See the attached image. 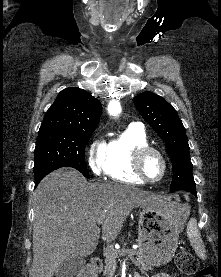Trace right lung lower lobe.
Listing matches in <instances>:
<instances>
[{
	"instance_id": "1",
	"label": "right lung lower lobe",
	"mask_w": 221,
	"mask_h": 277,
	"mask_svg": "<svg viewBox=\"0 0 221 277\" xmlns=\"http://www.w3.org/2000/svg\"><path fill=\"white\" fill-rule=\"evenodd\" d=\"M39 182H40V180H39V181H35V186H36Z\"/></svg>"
}]
</instances>
